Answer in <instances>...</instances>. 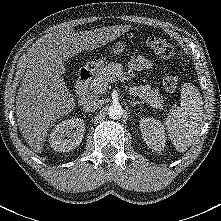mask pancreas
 <instances>
[{
  "label": "pancreas",
  "instance_id": "obj_1",
  "mask_svg": "<svg viewBox=\"0 0 221 221\" xmlns=\"http://www.w3.org/2000/svg\"><path fill=\"white\" fill-rule=\"evenodd\" d=\"M126 72L124 67L119 63H109L103 70H101L90 83L89 89L92 93L101 95L104 94L109 82L115 80L118 76L122 81L126 79ZM127 92L140 98L141 103H147L158 110L163 109V100L158 94V90L151 89L150 85L145 86H127Z\"/></svg>",
  "mask_w": 221,
  "mask_h": 221
}]
</instances>
